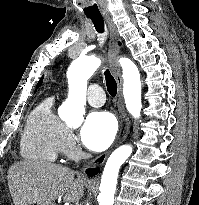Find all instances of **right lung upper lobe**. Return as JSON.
I'll list each match as a JSON object with an SVG mask.
<instances>
[{
	"label": "right lung upper lobe",
	"mask_w": 199,
	"mask_h": 205,
	"mask_svg": "<svg viewBox=\"0 0 199 205\" xmlns=\"http://www.w3.org/2000/svg\"><path fill=\"white\" fill-rule=\"evenodd\" d=\"M41 83H42V78H41V80L39 81V83L37 84V88L41 85Z\"/></svg>",
	"instance_id": "right-lung-upper-lobe-1"
}]
</instances>
